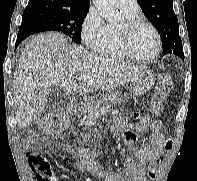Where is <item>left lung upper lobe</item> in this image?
<instances>
[{"label":"left lung upper lobe","instance_id":"1","mask_svg":"<svg viewBox=\"0 0 197 181\" xmlns=\"http://www.w3.org/2000/svg\"><path fill=\"white\" fill-rule=\"evenodd\" d=\"M137 2L161 36L163 54L174 53L184 59L178 19L173 10V0H137Z\"/></svg>","mask_w":197,"mask_h":181}]
</instances>
